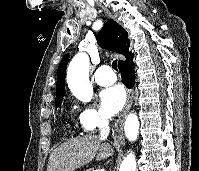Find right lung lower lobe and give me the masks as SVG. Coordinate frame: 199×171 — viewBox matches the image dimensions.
<instances>
[{"mask_svg":"<svg viewBox=\"0 0 199 171\" xmlns=\"http://www.w3.org/2000/svg\"><path fill=\"white\" fill-rule=\"evenodd\" d=\"M132 59L118 64V68L121 72L122 81L124 85L128 88H132L135 84L134 63L132 62Z\"/></svg>","mask_w":199,"mask_h":171,"instance_id":"right-lung-lower-lobe-1","label":"right lung lower lobe"}]
</instances>
